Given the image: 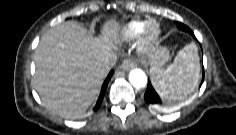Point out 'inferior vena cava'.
Segmentation results:
<instances>
[{
  "label": "inferior vena cava",
  "instance_id": "602c4592",
  "mask_svg": "<svg viewBox=\"0 0 236 135\" xmlns=\"http://www.w3.org/2000/svg\"><path fill=\"white\" fill-rule=\"evenodd\" d=\"M116 64V59L114 57L108 59L106 62H105V67L109 70L111 69L114 65Z\"/></svg>",
  "mask_w": 236,
  "mask_h": 135
}]
</instances>
